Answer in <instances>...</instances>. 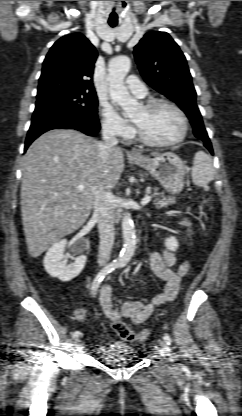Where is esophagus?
<instances>
[{"mask_svg": "<svg viewBox=\"0 0 242 416\" xmlns=\"http://www.w3.org/2000/svg\"><path fill=\"white\" fill-rule=\"evenodd\" d=\"M129 156H131V157H140V154L137 153V152L132 151V152L129 153Z\"/></svg>", "mask_w": 242, "mask_h": 416, "instance_id": "34e87169", "label": "esophagus"}]
</instances>
